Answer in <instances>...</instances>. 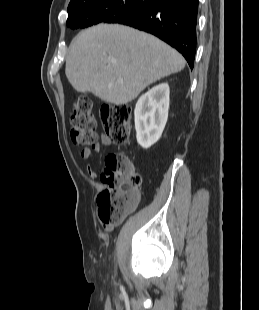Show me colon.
<instances>
[{"mask_svg": "<svg viewBox=\"0 0 259 310\" xmlns=\"http://www.w3.org/2000/svg\"><path fill=\"white\" fill-rule=\"evenodd\" d=\"M106 136L116 144H124L130 135L131 108L107 105L101 110ZM71 139L79 146L97 144L93 104L89 97L79 96L71 114ZM101 180L106 186L97 198V217L105 226L116 225L138 204L141 176L124 154L112 153L105 158Z\"/></svg>", "mask_w": 259, "mask_h": 310, "instance_id": "1", "label": "colon"}]
</instances>
